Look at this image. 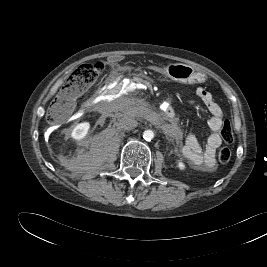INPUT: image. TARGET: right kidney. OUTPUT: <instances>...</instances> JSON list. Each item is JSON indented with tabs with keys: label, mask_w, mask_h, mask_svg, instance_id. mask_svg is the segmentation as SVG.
Instances as JSON below:
<instances>
[{
	"label": "right kidney",
	"mask_w": 267,
	"mask_h": 267,
	"mask_svg": "<svg viewBox=\"0 0 267 267\" xmlns=\"http://www.w3.org/2000/svg\"><path fill=\"white\" fill-rule=\"evenodd\" d=\"M89 128H90L89 122L79 123L72 130L71 137L76 140H81L87 135Z\"/></svg>",
	"instance_id": "1"
}]
</instances>
